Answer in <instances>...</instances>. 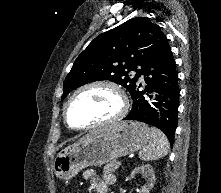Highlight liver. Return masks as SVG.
Wrapping results in <instances>:
<instances>
[{
	"label": "liver",
	"mask_w": 221,
	"mask_h": 193,
	"mask_svg": "<svg viewBox=\"0 0 221 193\" xmlns=\"http://www.w3.org/2000/svg\"><path fill=\"white\" fill-rule=\"evenodd\" d=\"M100 131H103V130L94 131V132H91L90 134L97 133V132H100Z\"/></svg>",
	"instance_id": "1"
}]
</instances>
